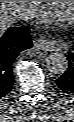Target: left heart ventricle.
I'll return each mask as SVG.
<instances>
[{
  "mask_svg": "<svg viewBox=\"0 0 74 122\" xmlns=\"http://www.w3.org/2000/svg\"><path fill=\"white\" fill-rule=\"evenodd\" d=\"M73 2L74 1H57L54 11L60 16L67 18L68 12L73 7Z\"/></svg>",
  "mask_w": 74,
  "mask_h": 122,
  "instance_id": "b2bd125f",
  "label": "left heart ventricle"
}]
</instances>
